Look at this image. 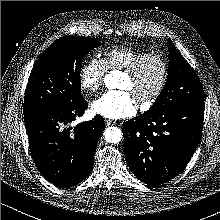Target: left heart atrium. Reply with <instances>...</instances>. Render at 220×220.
Listing matches in <instances>:
<instances>
[{"label":"left heart atrium","mask_w":220,"mask_h":220,"mask_svg":"<svg viewBox=\"0 0 220 220\" xmlns=\"http://www.w3.org/2000/svg\"><path fill=\"white\" fill-rule=\"evenodd\" d=\"M91 111L109 119L130 117L137 111L136 99L129 90H111L92 102Z\"/></svg>","instance_id":"obj_1"}]
</instances>
